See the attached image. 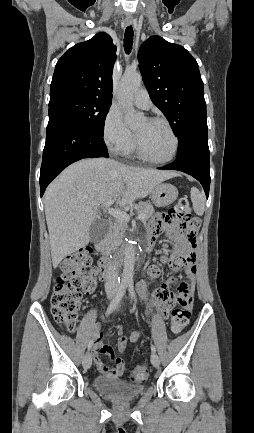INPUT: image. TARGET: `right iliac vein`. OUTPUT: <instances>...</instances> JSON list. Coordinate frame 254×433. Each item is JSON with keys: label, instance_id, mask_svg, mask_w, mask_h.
Wrapping results in <instances>:
<instances>
[{"label": "right iliac vein", "instance_id": "63e3f726", "mask_svg": "<svg viewBox=\"0 0 254 433\" xmlns=\"http://www.w3.org/2000/svg\"><path fill=\"white\" fill-rule=\"evenodd\" d=\"M114 292H111L108 294L109 298H112L114 296ZM92 364V357L90 353H86L85 356L83 357V361H82V365L84 367V369H89L91 367Z\"/></svg>", "mask_w": 254, "mask_h": 433}]
</instances>
